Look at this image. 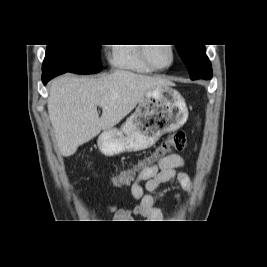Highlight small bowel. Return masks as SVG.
I'll list each match as a JSON object with an SVG mask.
<instances>
[{"label":"small bowel","instance_id":"1","mask_svg":"<svg viewBox=\"0 0 267 267\" xmlns=\"http://www.w3.org/2000/svg\"><path fill=\"white\" fill-rule=\"evenodd\" d=\"M184 165V160L180 155H169L159 160L149 167L136 169L133 163H130L127 169L130 173H136L131 184V192L139 204L132 210L111 207L114 217L118 222H126L133 216H141L151 221H158L163 218L161 211L154 207L152 193L164 183L171 180H177L187 191L191 189V180L189 176L180 171ZM175 199L180 201V195L176 194Z\"/></svg>","mask_w":267,"mask_h":267}]
</instances>
